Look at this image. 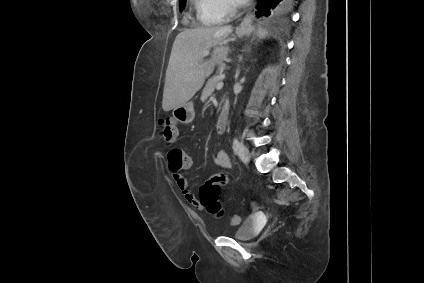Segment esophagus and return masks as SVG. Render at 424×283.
Wrapping results in <instances>:
<instances>
[{"mask_svg": "<svg viewBox=\"0 0 424 283\" xmlns=\"http://www.w3.org/2000/svg\"><path fill=\"white\" fill-rule=\"evenodd\" d=\"M252 19H253L252 13L249 11L245 15L243 21L241 22V24L239 25V27L237 28V30L238 31H247V30L251 29V27H252Z\"/></svg>", "mask_w": 424, "mask_h": 283, "instance_id": "34e87169", "label": "esophagus"}]
</instances>
